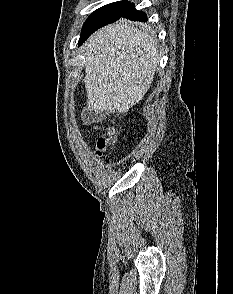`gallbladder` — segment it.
Masks as SVG:
<instances>
[{"mask_svg":"<svg viewBox=\"0 0 233 294\" xmlns=\"http://www.w3.org/2000/svg\"><path fill=\"white\" fill-rule=\"evenodd\" d=\"M84 116H85V118H86L87 114H84Z\"/></svg>","mask_w":233,"mask_h":294,"instance_id":"obj_1","label":"gallbladder"}]
</instances>
